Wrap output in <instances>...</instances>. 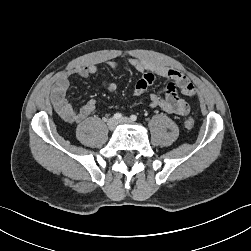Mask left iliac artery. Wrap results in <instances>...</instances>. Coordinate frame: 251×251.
<instances>
[{
  "instance_id": "left-iliac-artery-1",
  "label": "left iliac artery",
  "mask_w": 251,
  "mask_h": 251,
  "mask_svg": "<svg viewBox=\"0 0 251 251\" xmlns=\"http://www.w3.org/2000/svg\"><path fill=\"white\" fill-rule=\"evenodd\" d=\"M130 119H131L132 121H136V120H137V116H136V115H131V116H130Z\"/></svg>"
}]
</instances>
